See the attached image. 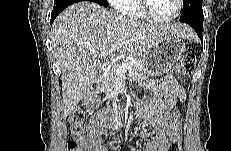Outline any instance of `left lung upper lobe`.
Instances as JSON below:
<instances>
[{
  "label": "left lung upper lobe",
  "mask_w": 231,
  "mask_h": 151,
  "mask_svg": "<svg viewBox=\"0 0 231 151\" xmlns=\"http://www.w3.org/2000/svg\"><path fill=\"white\" fill-rule=\"evenodd\" d=\"M194 17L204 19L202 0H183V11L180 18L192 19Z\"/></svg>",
  "instance_id": "obj_1"
}]
</instances>
